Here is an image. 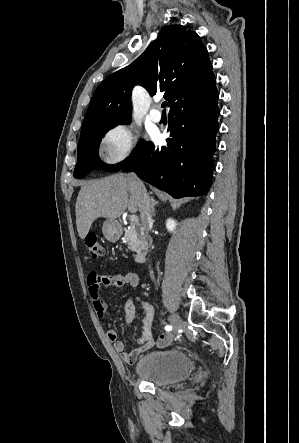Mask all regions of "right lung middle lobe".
Instances as JSON below:
<instances>
[{
  "label": "right lung middle lobe",
  "mask_w": 299,
  "mask_h": 443,
  "mask_svg": "<svg viewBox=\"0 0 299 443\" xmlns=\"http://www.w3.org/2000/svg\"><path fill=\"white\" fill-rule=\"evenodd\" d=\"M131 120L117 122L120 124H128ZM117 123L109 124L95 130H92L81 136L78 143V157L77 165L73 176L75 178H82L89 174L92 170L102 169L109 172H116L131 164L136 160L143 151L147 142L140 141L138 146L134 149L129 157L116 165H107L103 163L98 156V148L101 138Z\"/></svg>",
  "instance_id": "1"
}]
</instances>
